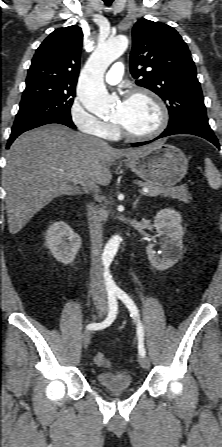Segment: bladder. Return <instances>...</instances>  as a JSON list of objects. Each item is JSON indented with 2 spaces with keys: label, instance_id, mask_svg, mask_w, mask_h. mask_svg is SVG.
Masks as SVG:
<instances>
[{
  "label": "bladder",
  "instance_id": "obj_1",
  "mask_svg": "<svg viewBox=\"0 0 222 447\" xmlns=\"http://www.w3.org/2000/svg\"><path fill=\"white\" fill-rule=\"evenodd\" d=\"M95 378L99 386L110 392L128 390L133 386V378L128 371L100 372Z\"/></svg>",
  "mask_w": 222,
  "mask_h": 447
}]
</instances>
